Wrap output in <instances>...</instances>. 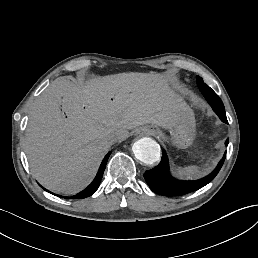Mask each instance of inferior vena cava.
Segmentation results:
<instances>
[{"label": "inferior vena cava", "instance_id": "1", "mask_svg": "<svg viewBox=\"0 0 258 258\" xmlns=\"http://www.w3.org/2000/svg\"><path fill=\"white\" fill-rule=\"evenodd\" d=\"M106 140L112 145L119 140L118 134L116 132H110L107 134Z\"/></svg>", "mask_w": 258, "mask_h": 258}]
</instances>
